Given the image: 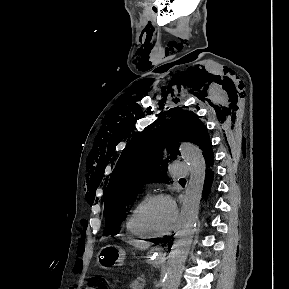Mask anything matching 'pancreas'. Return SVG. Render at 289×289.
Masks as SVG:
<instances>
[{"label":"pancreas","instance_id":"cf45deb5","mask_svg":"<svg viewBox=\"0 0 289 289\" xmlns=\"http://www.w3.org/2000/svg\"><path fill=\"white\" fill-rule=\"evenodd\" d=\"M145 284V277L141 276L137 278L132 284H131V289H143V286Z\"/></svg>","mask_w":289,"mask_h":289}]
</instances>
